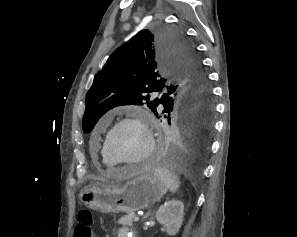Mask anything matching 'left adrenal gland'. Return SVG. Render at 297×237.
<instances>
[{
	"mask_svg": "<svg viewBox=\"0 0 297 237\" xmlns=\"http://www.w3.org/2000/svg\"><path fill=\"white\" fill-rule=\"evenodd\" d=\"M149 213H150V212H148V213L144 216V218H146V217L149 215Z\"/></svg>",
	"mask_w": 297,
	"mask_h": 237,
	"instance_id": "left-adrenal-gland-1",
	"label": "left adrenal gland"
}]
</instances>
